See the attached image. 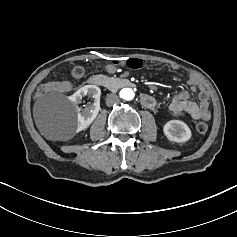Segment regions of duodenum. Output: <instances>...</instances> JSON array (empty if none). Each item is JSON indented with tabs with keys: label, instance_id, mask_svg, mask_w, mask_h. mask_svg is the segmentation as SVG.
Instances as JSON below:
<instances>
[{
	"label": "duodenum",
	"instance_id": "410a0bca",
	"mask_svg": "<svg viewBox=\"0 0 237 237\" xmlns=\"http://www.w3.org/2000/svg\"><path fill=\"white\" fill-rule=\"evenodd\" d=\"M89 84L95 87H104L110 84V81L102 76V75H95L92 76L89 79ZM117 86H122V87H133L134 83L130 81L129 79H120L115 82Z\"/></svg>",
	"mask_w": 237,
	"mask_h": 237
}]
</instances>
